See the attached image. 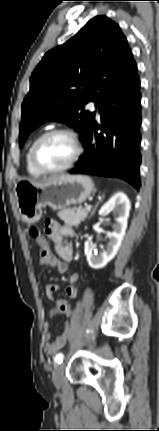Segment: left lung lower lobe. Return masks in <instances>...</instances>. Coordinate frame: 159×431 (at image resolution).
<instances>
[{
  "instance_id": "1",
  "label": "left lung lower lobe",
  "mask_w": 159,
  "mask_h": 431,
  "mask_svg": "<svg viewBox=\"0 0 159 431\" xmlns=\"http://www.w3.org/2000/svg\"><path fill=\"white\" fill-rule=\"evenodd\" d=\"M98 109L102 124L94 117L83 139L85 152L69 173L120 178L138 190L141 186L142 119L140 79L135 61Z\"/></svg>"
}]
</instances>
